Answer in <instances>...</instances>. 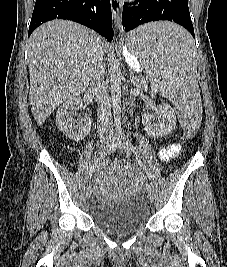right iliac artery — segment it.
Here are the masks:
<instances>
[{
    "label": "right iliac artery",
    "instance_id": "82829eb1",
    "mask_svg": "<svg viewBox=\"0 0 227 267\" xmlns=\"http://www.w3.org/2000/svg\"><path fill=\"white\" fill-rule=\"evenodd\" d=\"M116 145L117 143L113 141L112 145L99 156L96 163L90 169V172H89L90 178L92 174L102 165L103 160L115 150Z\"/></svg>",
    "mask_w": 227,
    "mask_h": 267
}]
</instances>
